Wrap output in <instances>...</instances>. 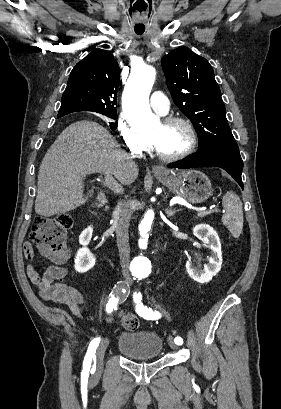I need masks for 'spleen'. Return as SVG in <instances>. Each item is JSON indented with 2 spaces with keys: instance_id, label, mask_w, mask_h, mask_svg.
<instances>
[{
  "instance_id": "obj_1",
  "label": "spleen",
  "mask_w": 281,
  "mask_h": 409,
  "mask_svg": "<svg viewBox=\"0 0 281 409\" xmlns=\"http://www.w3.org/2000/svg\"><path fill=\"white\" fill-rule=\"evenodd\" d=\"M222 205L225 213L222 217V223L230 231L231 235L238 239L243 229V209L242 202L233 190H229L223 196Z\"/></svg>"
}]
</instances>
